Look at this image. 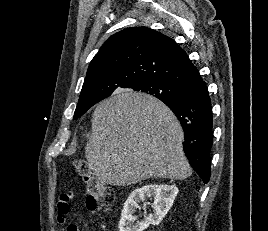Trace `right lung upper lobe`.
Wrapping results in <instances>:
<instances>
[{
	"label": "right lung upper lobe",
	"mask_w": 268,
	"mask_h": 231,
	"mask_svg": "<svg viewBox=\"0 0 268 231\" xmlns=\"http://www.w3.org/2000/svg\"><path fill=\"white\" fill-rule=\"evenodd\" d=\"M201 79L175 41L147 27H132L112 35L94 56L79 102L96 104L117 88H133L145 81L186 90Z\"/></svg>",
	"instance_id": "right-lung-upper-lobe-1"
}]
</instances>
